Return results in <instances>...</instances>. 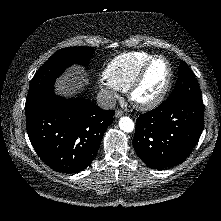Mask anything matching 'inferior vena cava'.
Instances as JSON below:
<instances>
[{
  "mask_svg": "<svg viewBox=\"0 0 221 221\" xmlns=\"http://www.w3.org/2000/svg\"><path fill=\"white\" fill-rule=\"evenodd\" d=\"M96 99L98 106L104 110L114 109L117 103L114 95L107 90H101Z\"/></svg>",
  "mask_w": 221,
  "mask_h": 221,
  "instance_id": "obj_1",
  "label": "inferior vena cava"
}]
</instances>
